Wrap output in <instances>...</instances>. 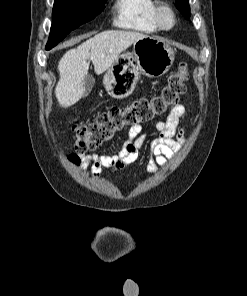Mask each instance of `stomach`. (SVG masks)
Wrapping results in <instances>:
<instances>
[{"label":"stomach","instance_id":"stomach-1","mask_svg":"<svg viewBox=\"0 0 247 296\" xmlns=\"http://www.w3.org/2000/svg\"><path fill=\"white\" fill-rule=\"evenodd\" d=\"M175 59L174 49L156 37L134 42L133 52L123 53L102 77L107 93L116 99L128 97L141 75L158 78L167 73Z\"/></svg>","mask_w":247,"mask_h":296}]
</instances>
